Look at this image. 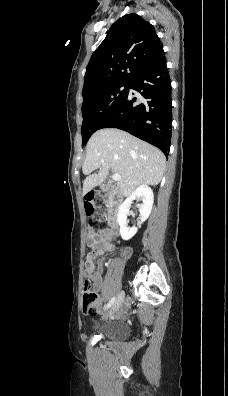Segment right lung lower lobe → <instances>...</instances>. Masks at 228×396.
Returning a JSON list of instances; mask_svg holds the SVG:
<instances>
[{"label":"right lung lower lobe","instance_id":"obj_1","mask_svg":"<svg viewBox=\"0 0 228 396\" xmlns=\"http://www.w3.org/2000/svg\"><path fill=\"white\" fill-rule=\"evenodd\" d=\"M137 98L127 93L121 104L101 124L102 128H118L158 147L169 154L172 123L171 80L166 67L163 46L131 82Z\"/></svg>","mask_w":228,"mask_h":396}]
</instances>
